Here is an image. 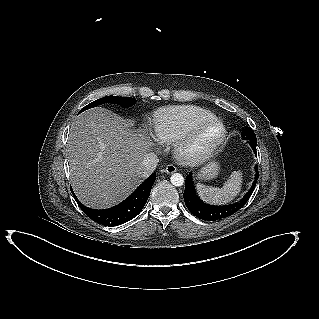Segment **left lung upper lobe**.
Wrapping results in <instances>:
<instances>
[{
    "mask_svg": "<svg viewBox=\"0 0 319 319\" xmlns=\"http://www.w3.org/2000/svg\"><path fill=\"white\" fill-rule=\"evenodd\" d=\"M241 135L243 139L248 140L250 145L257 144L256 135L251 128L246 126L245 129L242 131Z\"/></svg>",
    "mask_w": 319,
    "mask_h": 319,
    "instance_id": "5c2ea615",
    "label": "left lung upper lobe"
}]
</instances>
